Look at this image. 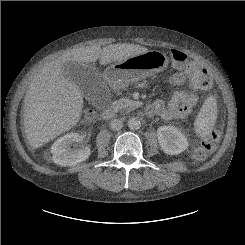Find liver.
I'll return each mask as SVG.
<instances>
[{
  "mask_svg": "<svg viewBox=\"0 0 245 245\" xmlns=\"http://www.w3.org/2000/svg\"><path fill=\"white\" fill-rule=\"evenodd\" d=\"M149 51L134 44H111L101 48L86 46L66 52L46 64L33 78L24 98V128L32 148H39L62 133L69 131L80 120L83 94L65 73L70 62L101 64L123 61Z\"/></svg>",
  "mask_w": 245,
  "mask_h": 245,
  "instance_id": "6515ba94",
  "label": "liver"
}]
</instances>
